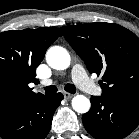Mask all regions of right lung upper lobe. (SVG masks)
I'll return each instance as SVG.
<instances>
[{"instance_id":"obj_1","label":"right lung upper lobe","mask_w":139,"mask_h":139,"mask_svg":"<svg viewBox=\"0 0 139 139\" xmlns=\"http://www.w3.org/2000/svg\"><path fill=\"white\" fill-rule=\"evenodd\" d=\"M60 36L55 27L0 33V114L45 97L34 93L29 83L38 81L35 70Z\"/></svg>"}]
</instances>
